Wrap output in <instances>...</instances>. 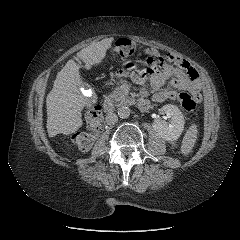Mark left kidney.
Masks as SVG:
<instances>
[{
	"label": "left kidney",
	"instance_id": "1",
	"mask_svg": "<svg viewBox=\"0 0 240 240\" xmlns=\"http://www.w3.org/2000/svg\"><path fill=\"white\" fill-rule=\"evenodd\" d=\"M159 111L166 114L171 119V121L168 124L166 121L157 117L152 124L155 132L161 138L167 141H174L178 139L182 134L185 123L184 115L180 109L175 105L167 104L160 108Z\"/></svg>",
	"mask_w": 240,
	"mask_h": 240
}]
</instances>
